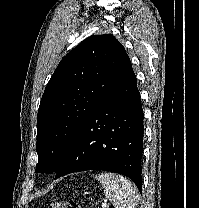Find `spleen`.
Listing matches in <instances>:
<instances>
[{"label": "spleen", "instance_id": "spleen-1", "mask_svg": "<svg viewBox=\"0 0 199 208\" xmlns=\"http://www.w3.org/2000/svg\"><path fill=\"white\" fill-rule=\"evenodd\" d=\"M95 179L102 184L105 196L114 208H135L138 204L137 187L127 178L114 173H101Z\"/></svg>", "mask_w": 199, "mask_h": 208}]
</instances>
